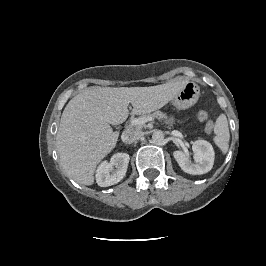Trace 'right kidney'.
Returning <instances> with one entry per match:
<instances>
[{"label": "right kidney", "instance_id": "ca27d5eb", "mask_svg": "<svg viewBox=\"0 0 266 266\" xmlns=\"http://www.w3.org/2000/svg\"><path fill=\"white\" fill-rule=\"evenodd\" d=\"M127 153H116L110 162H102L96 171V182L101 187H108L120 182L127 171L129 163Z\"/></svg>", "mask_w": 266, "mask_h": 266}]
</instances>
